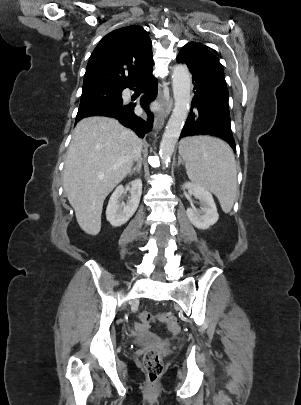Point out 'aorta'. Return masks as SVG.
Returning a JSON list of instances; mask_svg holds the SVG:
<instances>
[{"instance_id": "aorta-1", "label": "aorta", "mask_w": 301, "mask_h": 405, "mask_svg": "<svg viewBox=\"0 0 301 405\" xmlns=\"http://www.w3.org/2000/svg\"><path fill=\"white\" fill-rule=\"evenodd\" d=\"M175 106L163 134L159 155L163 164L170 162L189 112L191 75L185 65H176L172 73Z\"/></svg>"}]
</instances>
